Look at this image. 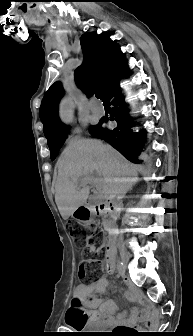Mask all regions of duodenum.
Here are the masks:
<instances>
[{
  "mask_svg": "<svg viewBox=\"0 0 193 336\" xmlns=\"http://www.w3.org/2000/svg\"><path fill=\"white\" fill-rule=\"evenodd\" d=\"M94 211L97 215H108L115 211V205L111 202H104L96 204L94 206ZM106 259L111 264H115V249H114V238L113 235L110 237L109 243L107 245Z\"/></svg>",
  "mask_w": 193,
  "mask_h": 336,
  "instance_id": "410a0bca",
  "label": "duodenum"
}]
</instances>
